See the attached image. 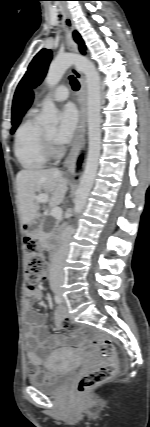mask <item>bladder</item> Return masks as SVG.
<instances>
[{"mask_svg":"<svg viewBox=\"0 0 150 427\" xmlns=\"http://www.w3.org/2000/svg\"><path fill=\"white\" fill-rule=\"evenodd\" d=\"M73 374V368L65 370L51 369L46 379L31 378L29 382L33 387L45 394H58L65 388Z\"/></svg>","mask_w":150,"mask_h":427,"instance_id":"bladder-1","label":"bladder"}]
</instances>
